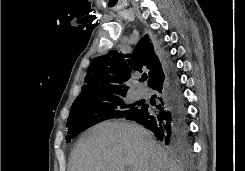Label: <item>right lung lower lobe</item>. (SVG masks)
<instances>
[{"label":"right lung lower lobe","instance_id":"right-lung-lower-lobe-1","mask_svg":"<svg viewBox=\"0 0 245 171\" xmlns=\"http://www.w3.org/2000/svg\"><path fill=\"white\" fill-rule=\"evenodd\" d=\"M164 75L150 85L157 103L141 107L133 121L151 130L156 138L171 147L185 146L188 139L187 111L173 62L161 53Z\"/></svg>","mask_w":245,"mask_h":171}]
</instances>
